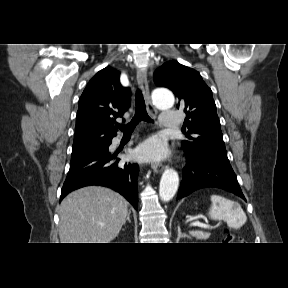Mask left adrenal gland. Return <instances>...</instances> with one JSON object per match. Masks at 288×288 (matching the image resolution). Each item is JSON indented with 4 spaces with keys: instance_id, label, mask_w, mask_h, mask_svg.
I'll return each instance as SVG.
<instances>
[{
    "instance_id": "left-adrenal-gland-1",
    "label": "left adrenal gland",
    "mask_w": 288,
    "mask_h": 288,
    "mask_svg": "<svg viewBox=\"0 0 288 288\" xmlns=\"http://www.w3.org/2000/svg\"><path fill=\"white\" fill-rule=\"evenodd\" d=\"M183 237L184 238L187 237V238L191 239V237L189 235H186L185 233H182L180 227L178 226V237H177V240H179L180 238H183Z\"/></svg>"
}]
</instances>
